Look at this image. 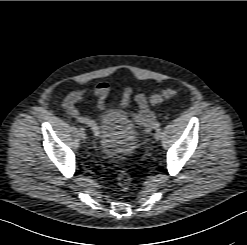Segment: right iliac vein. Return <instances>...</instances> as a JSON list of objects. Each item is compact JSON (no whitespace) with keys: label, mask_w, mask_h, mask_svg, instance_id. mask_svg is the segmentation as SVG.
Returning a JSON list of instances; mask_svg holds the SVG:
<instances>
[{"label":"right iliac vein","mask_w":247,"mask_h":245,"mask_svg":"<svg viewBox=\"0 0 247 245\" xmlns=\"http://www.w3.org/2000/svg\"><path fill=\"white\" fill-rule=\"evenodd\" d=\"M79 135H80V138L85 141L87 139V135H86V132L83 128H80L79 129Z\"/></svg>","instance_id":"63e3f726"}]
</instances>
